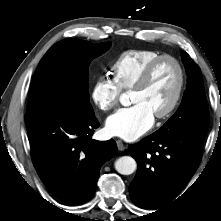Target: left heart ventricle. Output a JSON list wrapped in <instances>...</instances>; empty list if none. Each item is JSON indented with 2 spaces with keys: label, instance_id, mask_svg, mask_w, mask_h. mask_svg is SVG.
<instances>
[{
  "label": "left heart ventricle",
  "instance_id": "1",
  "mask_svg": "<svg viewBox=\"0 0 221 221\" xmlns=\"http://www.w3.org/2000/svg\"><path fill=\"white\" fill-rule=\"evenodd\" d=\"M177 84L176 66L170 61L163 62L154 70L145 87L131 91L130 101L132 104H143L155 115L164 111L170 104Z\"/></svg>",
  "mask_w": 221,
  "mask_h": 221
}]
</instances>
